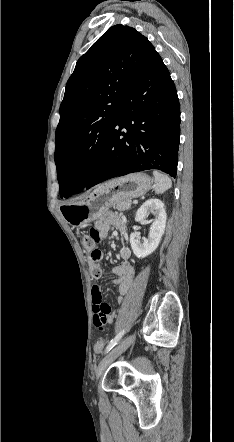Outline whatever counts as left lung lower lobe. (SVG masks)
Returning a JSON list of instances; mask_svg holds the SVG:
<instances>
[{
    "instance_id": "0a47b994",
    "label": "left lung lower lobe",
    "mask_w": 234,
    "mask_h": 442,
    "mask_svg": "<svg viewBox=\"0 0 234 442\" xmlns=\"http://www.w3.org/2000/svg\"><path fill=\"white\" fill-rule=\"evenodd\" d=\"M179 135L176 88L155 51L125 93L102 156L84 188L147 169L176 177Z\"/></svg>"
}]
</instances>
